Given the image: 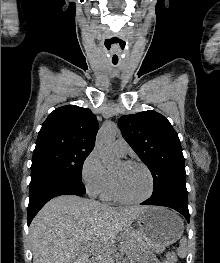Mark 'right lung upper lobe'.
<instances>
[{
  "label": "right lung upper lobe",
  "mask_w": 220,
  "mask_h": 263,
  "mask_svg": "<svg viewBox=\"0 0 220 263\" xmlns=\"http://www.w3.org/2000/svg\"><path fill=\"white\" fill-rule=\"evenodd\" d=\"M97 130L98 122L90 109L59 107L43 123L34 152L50 148L93 150Z\"/></svg>",
  "instance_id": "1"
}]
</instances>
